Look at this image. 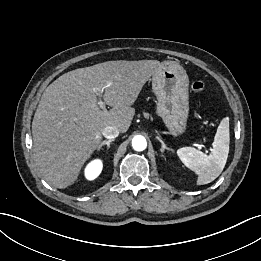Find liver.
Instances as JSON below:
<instances>
[{
    "mask_svg": "<svg viewBox=\"0 0 261 261\" xmlns=\"http://www.w3.org/2000/svg\"><path fill=\"white\" fill-rule=\"evenodd\" d=\"M162 63L157 60L107 61L67 72L44 91L32 122L33 158L43 178L63 189L74 183L101 143L104 129H129L145 83ZM104 88L100 109L95 89Z\"/></svg>",
    "mask_w": 261,
    "mask_h": 261,
    "instance_id": "liver-1",
    "label": "liver"
}]
</instances>
